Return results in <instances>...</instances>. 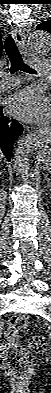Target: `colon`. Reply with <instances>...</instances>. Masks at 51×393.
<instances>
[{
	"label": "colon",
	"mask_w": 51,
	"mask_h": 393,
	"mask_svg": "<svg viewBox=\"0 0 51 393\" xmlns=\"http://www.w3.org/2000/svg\"><path fill=\"white\" fill-rule=\"evenodd\" d=\"M28 327V320L22 315H14L9 320L8 337L10 343L3 346L1 350L2 367L14 380H23L27 377L33 367L32 354L23 346L13 342ZM32 353L41 355L47 350V342L43 336H33L29 341Z\"/></svg>",
	"instance_id": "5ec220e1"
}]
</instances>
